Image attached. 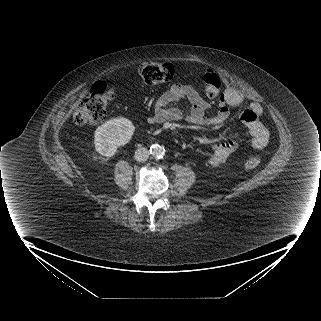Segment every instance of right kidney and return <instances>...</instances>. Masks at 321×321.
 <instances>
[{
    "mask_svg": "<svg viewBox=\"0 0 321 321\" xmlns=\"http://www.w3.org/2000/svg\"><path fill=\"white\" fill-rule=\"evenodd\" d=\"M135 131L133 123L124 117L106 121L94 133L95 150L102 156L112 157L119 146H124Z\"/></svg>",
    "mask_w": 321,
    "mask_h": 321,
    "instance_id": "ca27d5eb",
    "label": "right kidney"
}]
</instances>
